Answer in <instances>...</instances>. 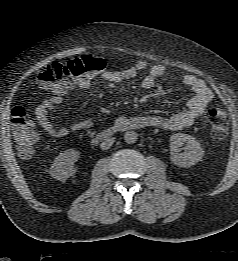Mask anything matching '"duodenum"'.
<instances>
[{
  "instance_id": "1",
  "label": "duodenum",
  "mask_w": 238,
  "mask_h": 261,
  "mask_svg": "<svg viewBox=\"0 0 238 261\" xmlns=\"http://www.w3.org/2000/svg\"><path fill=\"white\" fill-rule=\"evenodd\" d=\"M127 129H131V127H124V126L114 125L112 127H109L107 129L97 133L95 136H93L92 142L93 143H99L101 141L109 139L116 132L127 130Z\"/></svg>"
}]
</instances>
